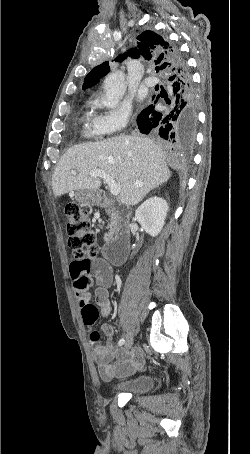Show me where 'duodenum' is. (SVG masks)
Segmentation results:
<instances>
[{"instance_id": "1", "label": "duodenum", "mask_w": 250, "mask_h": 454, "mask_svg": "<svg viewBox=\"0 0 250 454\" xmlns=\"http://www.w3.org/2000/svg\"><path fill=\"white\" fill-rule=\"evenodd\" d=\"M98 205L110 208V213L114 218V227L111 237L104 247V256L112 265H122L126 260L130 239L127 211L121 206L114 205L103 194L99 195Z\"/></svg>"}]
</instances>
